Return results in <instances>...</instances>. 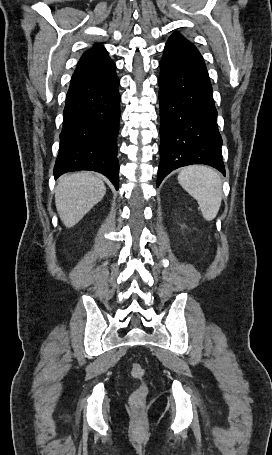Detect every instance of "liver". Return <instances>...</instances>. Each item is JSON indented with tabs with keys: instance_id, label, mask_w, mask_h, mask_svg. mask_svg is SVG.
I'll return each mask as SVG.
<instances>
[{
	"instance_id": "obj_1",
	"label": "liver",
	"mask_w": 272,
	"mask_h": 455,
	"mask_svg": "<svg viewBox=\"0 0 272 455\" xmlns=\"http://www.w3.org/2000/svg\"><path fill=\"white\" fill-rule=\"evenodd\" d=\"M106 193V187L91 172L67 174L59 178L55 189V204L59 217L67 228L76 225Z\"/></svg>"
}]
</instances>
